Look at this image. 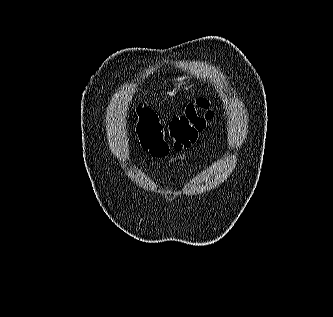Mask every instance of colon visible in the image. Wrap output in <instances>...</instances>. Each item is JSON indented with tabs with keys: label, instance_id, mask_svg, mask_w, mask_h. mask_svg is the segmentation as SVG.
Masks as SVG:
<instances>
[{
	"label": "colon",
	"instance_id": "obj_1",
	"mask_svg": "<svg viewBox=\"0 0 333 317\" xmlns=\"http://www.w3.org/2000/svg\"><path fill=\"white\" fill-rule=\"evenodd\" d=\"M137 133L142 148L156 157H163L171 149L182 150L194 144L199 133L213 118L207 98L198 97L184 111L173 116L164 127L156 112L147 107L137 109Z\"/></svg>",
	"mask_w": 333,
	"mask_h": 317
}]
</instances>
